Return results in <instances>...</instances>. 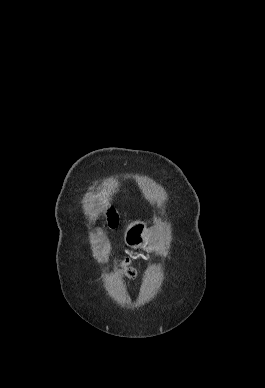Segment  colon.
<instances>
[{"label":"colon","instance_id":"obj_1","mask_svg":"<svg viewBox=\"0 0 265 388\" xmlns=\"http://www.w3.org/2000/svg\"><path fill=\"white\" fill-rule=\"evenodd\" d=\"M116 216L113 211L108 213L109 226L114 227L116 225ZM120 271L125 278H133L135 276V269L131 266L130 261L126 258L120 260Z\"/></svg>","mask_w":265,"mask_h":388}]
</instances>
